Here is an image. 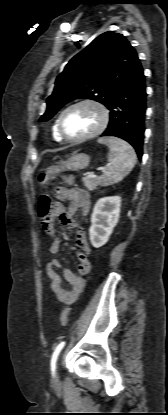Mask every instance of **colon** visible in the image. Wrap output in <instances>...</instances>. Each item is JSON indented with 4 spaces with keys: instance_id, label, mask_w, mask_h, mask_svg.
<instances>
[{
    "instance_id": "colon-1",
    "label": "colon",
    "mask_w": 168,
    "mask_h": 415,
    "mask_svg": "<svg viewBox=\"0 0 168 415\" xmlns=\"http://www.w3.org/2000/svg\"><path fill=\"white\" fill-rule=\"evenodd\" d=\"M59 179L63 180L66 183H71L73 180L71 175L61 176ZM40 180L41 182H44L45 178L41 177ZM38 215L45 229L49 228L55 219L56 209L54 207V204L51 201V198L48 192H44L39 198ZM70 313H71L70 307H67L62 311L61 317H60L61 325L63 326L67 325Z\"/></svg>"
}]
</instances>
